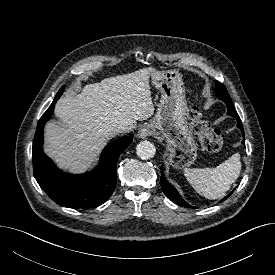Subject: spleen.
I'll return each instance as SVG.
<instances>
[{
    "label": "spleen",
    "mask_w": 275,
    "mask_h": 275,
    "mask_svg": "<svg viewBox=\"0 0 275 275\" xmlns=\"http://www.w3.org/2000/svg\"><path fill=\"white\" fill-rule=\"evenodd\" d=\"M241 172L240 155L235 153L215 168H185L184 175L197 193L208 199L223 197Z\"/></svg>",
    "instance_id": "1"
}]
</instances>
